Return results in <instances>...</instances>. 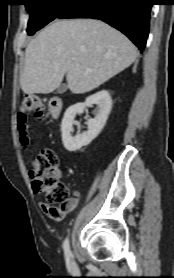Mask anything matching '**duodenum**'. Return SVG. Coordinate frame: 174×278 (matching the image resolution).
Masks as SVG:
<instances>
[{"label": "duodenum", "instance_id": "obj_1", "mask_svg": "<svg viewBox=\"0 0 174 278\" xmlns=\"http://www.w3.org/2000/svg\"><path fill=\"white\" fill-rule=\"evenodd\" d=\"M62 100L58 97H54L50 100L49 102V110H50V114L53 118H57L62 110Z\"/></svg>", "mask_w": 174, "mask_h": 278}]
</instances>
